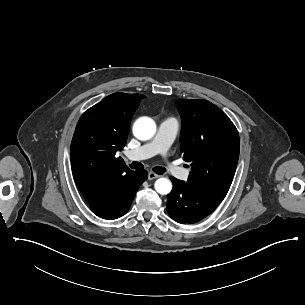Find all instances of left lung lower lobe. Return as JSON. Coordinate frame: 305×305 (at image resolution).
Listing matches in <instances>:
<instances>
[{
  "mask_svg": "<svg viewBox=\"0 0 305 305\" xmlns=\"http://www.w3.org/2000/svg\"><path fill=\"white\" fill-rule=\"evenodd\" d=\"M170 179L173 189L167 195V211L178 223L199 222L212 213L226 196L192 187L174 177Z\"/></svg>",
  "mask_w": 305,
  "mask_h": 305,
  "instance_id": "0a47b994",
  "label": "left lung lower lobe"
}]
</instances>
